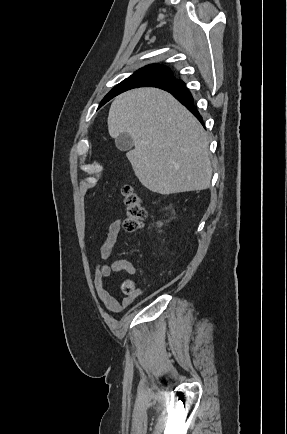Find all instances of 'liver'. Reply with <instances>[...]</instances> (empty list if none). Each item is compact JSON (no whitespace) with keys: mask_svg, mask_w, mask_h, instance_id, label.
<instances>
[{"mask_svg":"<svg viewBox=\"0 0 287 434\" xmlns=\"http://www.w3.org/2000/svg\"><path fill=\"white\" fill-rule=\"evenodd\" d=\"M108 131L112 138L132 137L135 149L127 157L150 191L169 195L210 186L207 133L170 93L148 87L119 95L109 110Z\"/></svg>","mask_w":287,"mask_h":434,"instance_id":"6515ba94","label":"liver"}]
</instances>
